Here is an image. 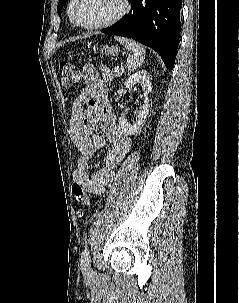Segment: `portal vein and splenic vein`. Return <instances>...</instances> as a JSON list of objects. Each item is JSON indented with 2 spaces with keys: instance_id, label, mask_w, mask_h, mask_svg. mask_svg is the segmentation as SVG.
Instances as JSON below:
<instances>
[{
  "instance_id": "portal-vein-and-splenic-vein-1",
  "label": "portal vein and splenic vein",
  "mask_w": 239,
  "mask_h": 303,
  "mask_svg": "<svg viewBox=\"0 0 239 303\" xmlns=\"http://www.w3.org/2000/svg\"><path fill=\"white\" fill-rule=\"evenodd\" d=\"M114 72H119V67H115Z\"/></svg>"
}]
</instances>
